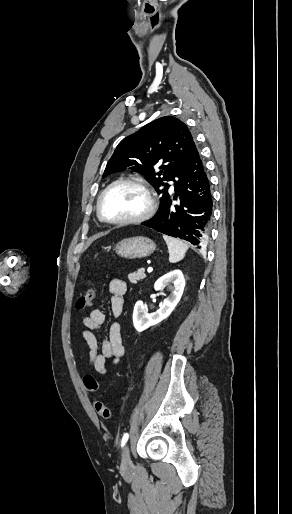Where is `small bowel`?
<instances>
[{
  "instance_id": "c3829d8e",
  "label": "small bowel",
  "mask_w": 292,
  "mask_h": 514,
  "mask_svg": "<svg viewBox=\"0 0 292 514\" xmlns=\"http://www.w3.org/2000/svg\"><path fill=\"white\" fill-rule=\"evenodd\" d=\"M108 290L111 295V312L114 316H119L123 311L127 285L122 279L114 278L109 281ZM104 323V312L100 309H94L83 318L86 329L80 331V337L88 347V365L102 375L107 373L108 360H111L112 365H116L125 354L121 337V325L118 322L110 324L106 340L101 343L98 341L93 331L101 330Z\"/></svg>"
}]
</instances>
